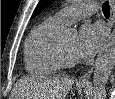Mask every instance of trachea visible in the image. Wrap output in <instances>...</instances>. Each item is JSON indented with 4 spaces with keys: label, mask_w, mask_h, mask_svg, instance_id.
I'll return each instance as SVG.
<instances>
[{
    "label": "trachea",
    "mask_w": 115,
    "mask_h": 99,
    "mask_svg": "<svg viewBox=\"0 0 115 99\" xmlns=\"http://www.w3.org/2000/svg\"><path fill=\"white\" fill-rule=\"evenodd\" d=\"M103 14L105 17H109L110 15V6L108 2H105L102 6Z\"/></svg>",
    "instance_id": "1"
}]
</instances>
